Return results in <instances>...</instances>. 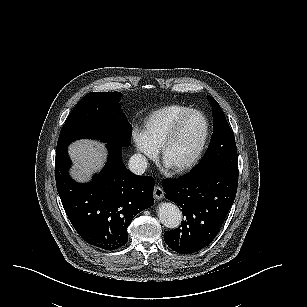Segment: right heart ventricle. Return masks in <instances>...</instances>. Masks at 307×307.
Returning a JSON list of instances; mask_svg holds the SVG:
<instances>
[{"instance_id":"obj_1","label":"right heart ventricle","mask_w":307,"mask_h":307,"mask_svg":"<svg viewBox=\"0 0 307 307\" xmlns=\"http://www.w3.org/2000/svg\"><path fill=\"white\" fill-rule=\"evenodd\" d=\"M179 107L168 105L161 106L145 123V134L153 140L161 139L171 128L172 121L178 116Z\"/></svg>"}]
</instances>
